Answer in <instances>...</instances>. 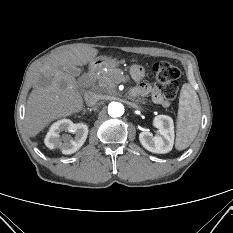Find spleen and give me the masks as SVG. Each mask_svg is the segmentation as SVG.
Masks as SVG:
<instances>
[{"label": "spleen", "mask_w": 233, "mask_h": 233, "mask_svg": "<svg viewBox=\"0 0 233 233\" xmlns=\"http://www.w3.org/2000/svg\"><path fill=\"white\" fill-rule=\"evenodd\" d=\"M201 120V106L195 90L189 83L182 86L179 98L175 148L186 149L195 139Z\"/></svg>", "instance_id": "spleen-1"}]
</instances>
